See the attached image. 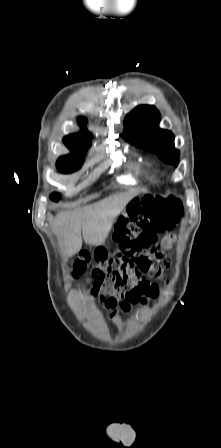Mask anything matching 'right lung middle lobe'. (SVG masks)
Returning <instances> with one entry per match:
<instances>
[{
    "label": "right lung middle lobe",
    "instance_id": "1",
    "mask_svg": "<svg viewBox=\"0 0 221 448\" xmlns=\"http://www.w3.org/2000/svg\"><path fill=\"white\" fill-rule=\"evenodd\" d=\"M83 163V159L74 158L70 156H63L57 162V168L62 173H71L78 170ZM53 201H58L60 199V195L58 193H54L50 196Z\"/></svg>",
    "mask_w": 221,
    "mask_h": 448
}]
</instances>
